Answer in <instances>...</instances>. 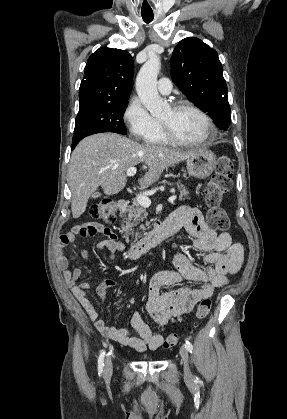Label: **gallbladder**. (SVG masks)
<instances>
[{"label": "gallbladder", "instance_id": "obj_1", "mask_svg": "<svg viewBox=\"0 0 287 419\" xmlns=\"http://www.w3.org/2000/svg\"><path fill=\"white\" fill-rule=\"evenodd\" d=\"M101 196V193L100 192H94L92 195H91V197L92 198H98V197H100Z\"/></svg>", "mask_w": 287, "mask_h": 419}]
</instances>
